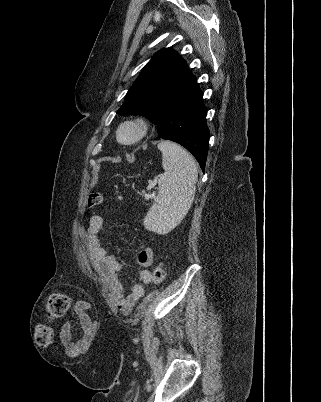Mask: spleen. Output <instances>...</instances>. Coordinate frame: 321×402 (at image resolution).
Segmentation results:
<instances>
[{"instance_id":"spleen-1","label":"spleen","mask_w":321,"mask_h":402,"mask_svg":"<svg viewBox=\"0 0 321 402\" xmlns=\"http://www.w3.org/2000/svg\"><path fill=\"white\" fill-rule=\"evenodd\" d=\"M164 173L158 180V194L143 220L145 228L158 234L173 229L190 209L198 178L196 162L181 146L161 141Z\"/></svg>"}]
</instances>
